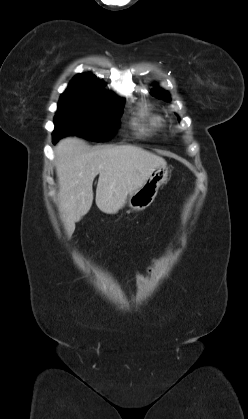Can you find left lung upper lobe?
<instances>
[{
  "instance_id": "5c2ea615",
  "label": "left lung upper lobe",
  "mask_w": 248,
  "mask_h": 419,
  "mask_svg": "<svg viewBox=\"0 0 248 419\" xmlns=\"http://www.w3.org/2000/svg\"><path fill=\"white\" fill-rule=\"evenodd\" d=\"M151 93H152L153 96H155V97H157L159 99L170 101L169 94L167 92L163 91L160 88H154Z\"/></svg>"
}]
</instances>
